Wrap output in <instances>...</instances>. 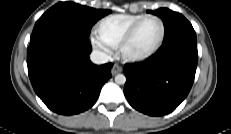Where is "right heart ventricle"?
Here are the masks:
<instances>
[{
	"mask_svg": "<svg viewBox=\"0 0 231 134\" xmlns=\"http://www.w3.org/2000/svg\"><path fill=\"white\" fill-rule=\"evenodd\" d=\"M144 14H113L104 17L96 26L97 36L109 47H117L130 27Z\"/></svg>",
	"mask_w": 231,
	"mask_h": 134,
	"instance_id": "right-heart-ventricle-1",
	"label": "right heart ventricle"
}]
</instances>
